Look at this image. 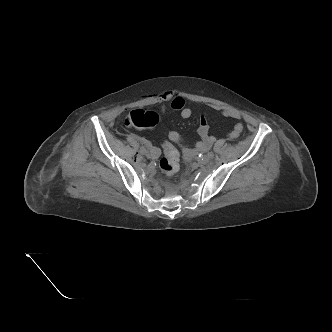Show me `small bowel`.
<instances>
[{"label": "small bowel", "instance_id": "obj_1", "mask_svg": "<svg viewBox=\"0 0 332 332\" xmlns=\"http://www.w3.org/2000/svg\"><path fill=\"white\" fill-rule=\"evenodd\" d=\"M162 101L169 102L170 108L178 111L180 116L183 119H188L192 116V110L186 105L185 99L180 95H175L172 92H166L161 97ZM208 107L214 111H217L221 116L230 119H240L241 113L233 108L225 107L217 104H208ZM209 123L207 118L204 115H201L199 126H198V134L201 138L199 142L195 144V148L198 150H206L208 149L214 142L215 138L209 133ZM243 131V125L241 123H236L233 129L229 132V138L235 139L238 138ZM169 139L173 143L180 145L183 147L186 153H189L191 149L184 145L183 136L177 131H171L169 133ZM148 148L150 149V156L152 158H157L159 155V150L148 143Z\"/></svg>", "mask_w": 332, "mask_h": 332}]
</instances>
